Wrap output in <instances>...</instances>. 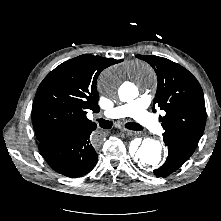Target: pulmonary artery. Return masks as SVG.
<instances>
[{"instance_id": "e3ab8cb5", "label": "pulmonary artery", "mask_w": 221, "mask_h": 221, "mask_svg": "<svg viewBox=\"0 0 221 221\" xmlns=\"http://www.w3.org/2000/svg\"><path fill=\"white\" fill-rule=\"evenodd\" d=\"M150 101L149 96H141L133 101L104 111L103 117L107 119L133 117L151 132L160 133L163 130L162 124L147 111Z\"/></svg>"}]
</instances>
